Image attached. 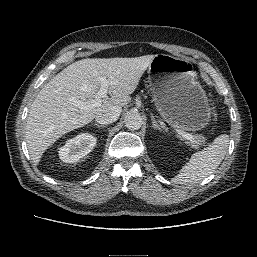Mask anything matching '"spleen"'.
Here are the masks:
<instances>
[{"instance_id":"obj_1","label":"spleen","mask_w":257,"mask_h":257,"mask_svg":"<svg viewBox=\"0 0 257 257\" xmlns=\"http://www.w3.org/2000/svg\"><path fill=\"white\" fill-rule=\"evenodd\" d=\"M229 141L227 134L216 137L205 150L198 151L191 156L178 175L172 178V182L189 184L206 178L221 164L226 155Z\"/></svg>"}]
</instances>
